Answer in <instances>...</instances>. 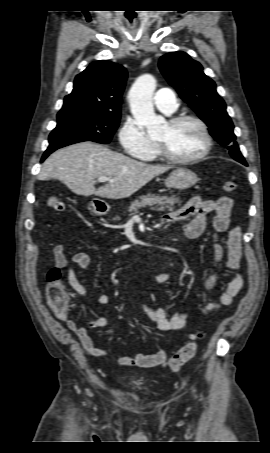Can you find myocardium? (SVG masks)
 Masks as SVG:
<instances>
[{
  "mask_svg": "<svg viewBox=\"0 0 270 453\" xmlns=\"http://www.w3.org/2000/svg\"><path fill=\"white\" fill-rule=\"evenodd\" d=\"M187 121L194 122L200 127L203 137H204V142H205L203 150L200 153H198L197 155L192 156V157H185V158L176 157L169 152V150L167 149V147L164 143L157 141L159 155L163 159H165L171 163H174V164H191V163H196V162L202 160L211 151L212 137L210 135L207 124L201 118L194 116V115H179V116L170 118L168 120L167 124L170 127H174V126H177V125H179L183 122H187Z\"/></svg>",
  "mask_w": 270,
  "mask_h": 453,
  "instance_id": "obj_1",
  "label": "myocardium"
}]
</instances>
